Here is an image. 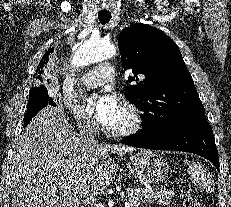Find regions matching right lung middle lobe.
<instances>
[{
  "label": "right lung middle lobe",
  "instance_id": "1",
  "mask_svg": "<svg viewBox=\"0 0 231 207\" xmlns=\"http://www.w3.org/2000/svg\"><path fill=\"white\" fill-rule=\"evenodd\" d=\"M42 89H46V87L44 86H40V87H34L30 90V93H29V100H28V103H30L31 101L34 100V97L36 96V94L42 90Z\"/></svg>",
  "mask_w": 231,
  "mask_h": 207
}]
</instances>
